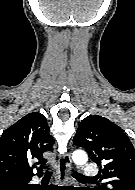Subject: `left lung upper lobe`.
I'll return each instance as SVG.
<instances>
[{
  "label": "left lung upper lobe",
  "mask_w": 135,
  "mask_h": 190,
  "mask_svg": "<svg viewBox=\"0 0 135 190\" xmlns=\"http://www.w3.org/2000/svg\"><path fill=\"white\" fill-rule=\"evenodd\" d=\"M73 142L84 147L95 163L101 165L95 190H135V149L123 130L102 116L90 115L82 120Z\"/></svg>",
  "instance_id": "left-lung-upper-lobe-1"
}]
</instances>
